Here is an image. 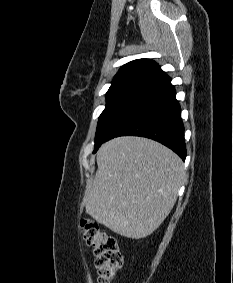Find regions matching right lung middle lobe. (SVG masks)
<instances>
[{
    "mask_svg": "<svg viewBox=\"0 0 233 283\" xmlns=\"http://www.w3.org/2000/svg\"><path fill=\"white\" fill-rule=\"evenodd\" d=\"M150 83L149 81H130L109 88L106 93V108L98 120L93 153L98 150L113 126Z\"/></svg>",
    "mask_w": 233,
    "mask_h": 283,
    "instance_id": "1",
    "label": "right lung middle lobe"
}]
</instances>
